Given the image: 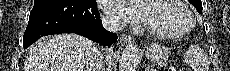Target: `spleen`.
I'll return each instance as SVG.
<instances>
[{
  "instance_id": "3e777b00",
  "label": "spleen",
  "mask_w": 230,
  "mask_h": 71,
  "mask_svg": "<svg viewBox=\"0 0 230 71\" xmlns=\"http://www.w3.org/2000/svg\"><path fill=\"white\" fill-rule=\"evenodd\" d=\"M205 60L202 50L196 45H190L184 54V62L194 71H208V62Z\"/></svg>"
}]
</instances>
